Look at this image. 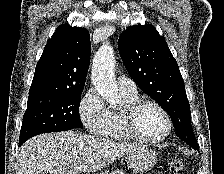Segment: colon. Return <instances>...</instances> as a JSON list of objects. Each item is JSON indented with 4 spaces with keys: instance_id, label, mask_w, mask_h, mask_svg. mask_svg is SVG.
<instances>
[{
    "instance_id": "obj_1",
    "label": "colon",
    "mask_w": 224,
    "mask_h": 174,
    "mask_svg": "<svg viewBox=\"0 0 224 174\" xmlns=\"http://www.w3.org/2000/svg\"><path fill=\"white\" fill-rule=\"evenodd\" d=\"M170 171L173 173H180L184 169V163L180 159H172L169 163Z\"/></svg>"
}]
</instances>
